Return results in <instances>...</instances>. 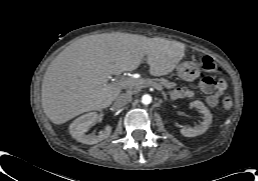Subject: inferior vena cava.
Wrapping results in <instances>:
<instances>
[{
	"instance_id": "obj_1",
	"label": "inferior vena cava",
	"mask_w": 258,
	"mask_h": 181,
	"mask_svg": "<svg viewBox=\"0 0 258 181\" xmlns=\"http://www.w3.org/2000/svg\"><path fill=\"white\" fill-rule=\"evenodd\" d=\"M132 99V95L131 93H122L120 94L117 99H116V104L119 106V107H122L124 105H126L127 103H129Z\"/></svg>"
}]
</instances>
